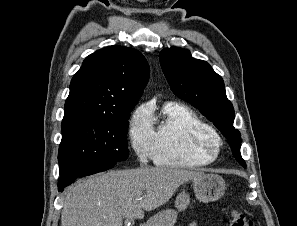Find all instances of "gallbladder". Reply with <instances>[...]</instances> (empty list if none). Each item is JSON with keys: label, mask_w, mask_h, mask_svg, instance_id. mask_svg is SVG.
<instances>
[{"label": "gallbladder", "mask_w": 297, "mask_h": 226, "mask_svg": "<svg viewBox=\"0 0 297 226\" xmlns=\"http://www.w3.org/2000/svg\"><path fill=\"white\" fill-rule=\"evenodd\" d=\"M127 221L130 222V223H133V220H131V219H128Z\"/></svg>", "instance_id": "gallbladder-1"}]
</instances>
